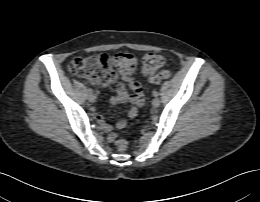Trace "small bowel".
Instances as JSON below:
<instances>
[{"mask_svg":"<svg viewBox=\"0 0 260 202\" xmlns=\"http://www.w3.org/2000/svg\"><path fill=\"white\" fill-rule=\"evenodd\" d=\"M129 86L132 91L131 94L127 93L126 88L122 83H118L114 88L116 96L112 97L110 102L113 105L128 103L130 105L128 117L135 118L138 113V109L144 104V94L143 89L138 82L129 80ZM96 120L105 132L111 131L112 128L108 123H106V118L103 114H97ZM125 126V120H118L116 122L117 129H123ZM114 136L115 134H110L108 137L109 141H114Z\"/></svg>","mask_w":260,"mask_h":202,"instance_id":"obj_1","label":"small bowel"}]
</instances>
